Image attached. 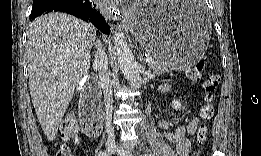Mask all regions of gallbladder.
<instances>
[{"label":"gallbladder","mask_w":261,"mask_h":156,"mask_svg":"<svg viewBox=\"0 0 261 156\" xmlns=\"http://www.w3.org/2000/svg\"><path fill=\"white\" fill-rule=\"evenodd\" d=\"M87 76L88 75H85L82 80H79L80 83H79V86L77 87V90L83 89V85L85 84V82H88V79H86ZM77 94H80V93H77Z\"/></svg>","instance_id":"gallbladder-1"}]
</instances>
